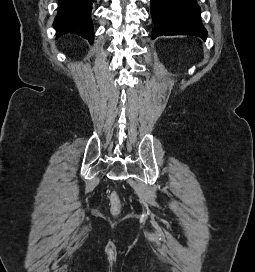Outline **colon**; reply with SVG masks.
<instances>
[{"label":"colon","instance_id":"colon-1","mask_svg":"<svg viewBox=\"0 0 255 272\" xmlns=\"http://www.w3.org/2000/svg\"><path fill=\"white\" fill-rule=\"evenodd\" d=\"M110 208L113 215H118L121 211V201L117 192L113 191L109 195Z\"/></svg>","mask_w":255,"mask_h":272}]
</instances>
